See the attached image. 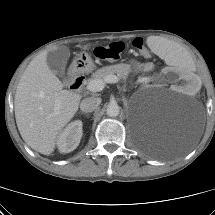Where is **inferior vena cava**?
Masks as SVG:
<instances>
[{
    "instance_id": "602c4592",
    "label": "inferior vena cava",
    "mask_w": 215,
    "mask_h": 215,
    "mask_svg": "<svg viewBox=\"0 0 215 215\" xmlns=\"http://www.w3.org/2000/svg\"><path fill=\"white\" fill-rule=\"evenodd\" d=\"M100 103H101L100 98L96 97L85 98L84 100H82L80 104V109L85 113L92 112L95 109H97Z\"/></svg>"
}]
</instances>
